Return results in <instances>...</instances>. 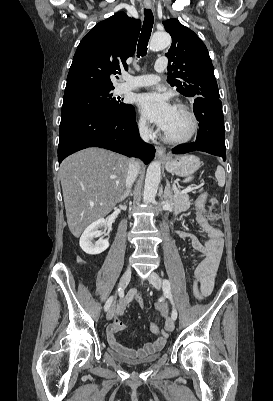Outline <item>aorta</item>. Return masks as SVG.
Instances as JSON below:
<instances>
[{"label": "aorta", "instance_id": "762f6f07", "mask_svg": "<svg viewBox=\"0 0 273 401\" xmlns=\"http://www.w3.org/2000/svg\"><path fill=\"white\" fill-rule=\"evenodd\" d=\"M171 44V37L166 32H156L153 34L149 48L151 51H160ZM161 179V165L159 161H153L146 172L144 185V202L150 203L155 200L158 191V186Z\"/></svg>", "mask_w": 273, "mask_h": 401}]
</instances>
